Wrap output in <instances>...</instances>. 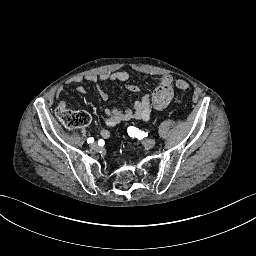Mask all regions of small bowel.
<instances>
[{
    "label": "small bowel",
    "instance_id": "small-bowel-1",
    "mask_svg": "<svg viewBox=\"0 0 256 256\" xmlns=\"http://www.w3.org/2000/svg\"><path fill=\"white\" fill-rule=\"evenodd\" d=\"M85 79L91 83L98 84L99 81H114V82H127L129 80V74L126 71H116V72H104L100 75L90 74L85 76ZM83 78L75 77L70 80V84L76 87L79 93H86V88L82 85ZM126 89L129 92L137 93L140 88L135 84H127ZM63 88L57 90V109H65L66 102L60 96ZM98 95L102 100L108 99V92L97 85ZM174 96V79L170 75H163L158 79L157 87L154 93L150 96L148 94L143 95L138 99L132 108L125 110H120L117 108L105 109L104 115L105 126L99 130V135L108 139L111 136L110 129L116 127L122 121H128L132 119H138L143 121H148L151 118L152 109L156 111H163L172 101Z\"/></svg>",
    "mask_w": 256,
    "mask_h": 256
}]
</instances>
